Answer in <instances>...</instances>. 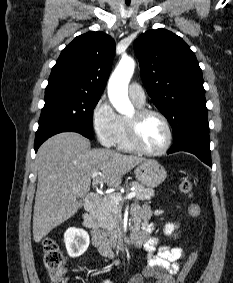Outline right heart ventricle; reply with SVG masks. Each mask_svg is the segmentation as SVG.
<instances>
[{
  "label": "right heart ventricle",
  "instance_id": "e07e8e85",
  "mask_svg": "<svg viewBox=\"0 0 233 283\" xmlns=\"http://www.w3.org/2000/svg\"><path fill=\"white\" fill-rule=\"evenodd\" d=\"M138 107H142L139 106ZM116 144L120 150L123 151H134L133 147L131 146L128 135H127V128H126V119L120 117V130L119 135L116 141Z\"/></svg>",
  "mask_w": 233,
  "mask_h": 283
}]
</instances>
